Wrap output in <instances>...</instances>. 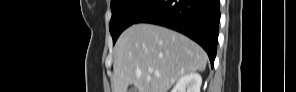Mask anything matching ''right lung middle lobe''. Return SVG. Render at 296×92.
Segmentation results:
<instances>
[{
  "label": "right lung middle lobe",
  "instance_id": "1",
  "mask_svg": "<svg viewBox=\"0 0 296 92\" xmlns=\"http://www.w3.org/2000/svg\"><path fill=\"white\" fill-rule=\"evenodd\" d=\"M158 0H111L112 18L109 24L113 43L123 30L145 13Z\"/></svg>",
  "mask_w": 296,
  "mask_h": 92
}]
</instances>
